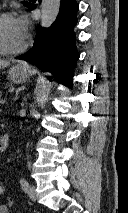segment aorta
<instances>
[{"label":"aorta","instance_id":"obj_1","mask_svg":"<svg viewBox=\"0 0 128 213\" xmlns=\"http://www.w3.org/2000/svg\"><path fill=\"white\" fill-rule=\"evenodd\" d=\"M61 0H42L41 3V25L50 27L56 20L60 10ZM31 113H35L34 106H31Z\"/></svg>","mask_w":128,"mask_h":213}]
</instances>
